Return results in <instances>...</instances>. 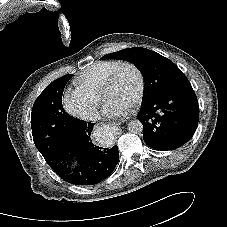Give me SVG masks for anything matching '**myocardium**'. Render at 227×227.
Here are the masks:
<instances>
[{
    "instance_id": "obj_1",
    "label": "myocardium",
    "mask_w": 227,
    "mask_h": 227,
    "mask_svg": "<svg viewBox=\"0 0 227 227\" xmlns=\"http://www.w3.org/2000/svg\"><path fill=\"white\" fill-rule=\"evenodd\" d=\"M125 68H131L136 73V76H137L138 88H137L135 98L132 102V106H136L141 102V100L144 97L145 90H146V80H145L144 73L142 72L140 67L131 61H123L113 69V71L110 73V75L105 80V82L102 86L100 95L104 99L105 92L107 90H109L115 84L120 73Z\"/></svg>"
}]
</instances>
